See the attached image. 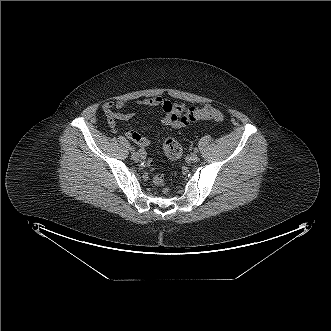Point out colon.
Segmentation results:
<instances>
[{"mask_svg":"<svg viewBox=\"0 0 331 331\" xmlns=\"http://www.w3.org/2000/svg\"><path fill=\"white\" fill-rule=\"evenodd\" d=\"M182 119L185 124H190L201 119L221 121L223 119V114L220 109L213 106H205L203 108L193 107L184 113ZM163 149L166 156L172 161L178 160L182 155L181 145L173 138H166L164 140ZM147 166L149 168L152 167L151 161L147 162ZM153 180L156 185L162 187L164 192L167 191L164 178L161 175H156Z\"/></svg>","mask_w":331,"mask_h":331,"instance_id":"obj_1","label":"colon"}]
</instances>
